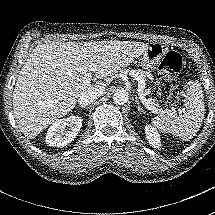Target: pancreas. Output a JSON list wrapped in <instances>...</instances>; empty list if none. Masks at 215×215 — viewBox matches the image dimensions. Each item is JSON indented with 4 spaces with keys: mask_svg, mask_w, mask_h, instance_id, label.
<instances>
[{
    "mask_svg": "<svg viewBox=\"0 0 215 215\" xmlns=\"http://www.w3.org/2000/svg\"><path fill=\"white\" fill-rule=\"evenodd\" d=\"M135 72L138 73L142 78H146L148 76V72L143 71L142 69H137Z\"/></svg>",
    "mask_w": 215,
    "mask_h": 215,
    "instance_id": "cf45deb5",
    "label": "pancreas"
}]
</instances>
